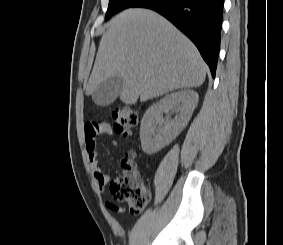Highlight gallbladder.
I'll return each mask as SVG.
<instances>
[{
  "instance_id": "obj_1",
  "label": "gallbladder",
  "mask_w": 283,
  "mask_h": 245,
  "mask_svg": "<svg viewBox=\"0 0 283 245\" xmlns=\"http://www.w3.org/2000/svg\"><path fill=\"white\" fill-rule=\"evenodd\" d=\"M123 86V78L120 76L110 77L94 89L92 100L99 106L110 105L117 99Z\"/></svg>"
}]
</instances>
